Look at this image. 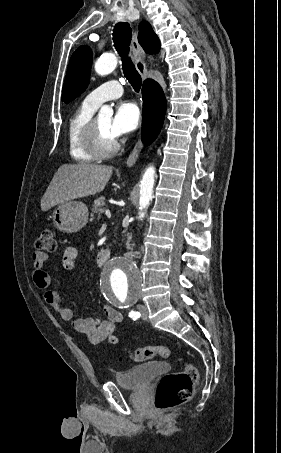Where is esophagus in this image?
Here are the masks:
<instances>
[{"label": "esophagus", "instance_id": "34e87169", "mask_svg": "<svg viewBox=\"0 0 281 453\" xmlns=\"http://www.w3.org/2000/svg\"><path fill=\"white\" fill-rule=\"evenodd\" d=\"M131 50L133 52L135 64H136V69L140 73L141 77L145 80L146 79V64L143 58V51L138 43L137 39V32L135 31L133 34L132 42H131ZM143 147L142 140L139 139L133 148L132 152L130 153L126 165L128 168L132 167L134 163L136 162L139 153L141 152Z\"/></svg>", "mask_w": 281, "mask_h": 453}]
</instances>
